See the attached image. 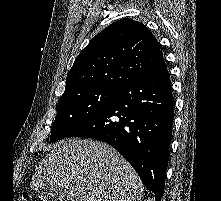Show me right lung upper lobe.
<instances>
[{
    "label": "right lung upper lobe",
    "instance_id": "cb5924a9",
    "mask_svg": "<svg viewBox=\"0 0 221 201\" xmlns=\"http://www.w3.org/2000/svg\"><path fill=\"white\" fill-rule=\"evenodd\" d=\"M164 63L152 32L132 19L114 22L82 50L67 75V94L87 88L118 90Z\"/></svg>",
    "mask_w": 221,
    "mask_h": 201
}]
</instances>
